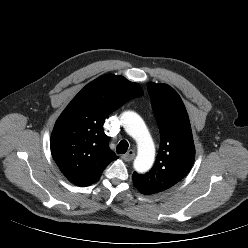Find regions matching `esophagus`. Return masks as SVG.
I'll return each instance as SVG.
<instances>
[{"label":"esophagus","instance_id":"1","mask_svg":"<svg viewBox=\"0 0 248 248\" xmlns=\"http://www.w3.org/2000/svg\"><path fill=\"white\" fill-rule=\"evenodd\" d=\"M121 158L125 161H132L135 158V152L129 150L126 154L122 155Z\"/></svg>","mask_w":248,"mask_h":248}]
</instances>
